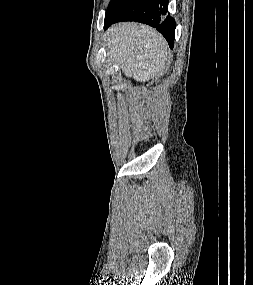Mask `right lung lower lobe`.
<instances>
[{"label": "right lung lower lobe", "instance_id": "obj_1", "mask_svg": "<svg viewBox=\"0 0 253 285\" xmlns=\"http://www.w3.org/2000/svg\"><path fill=\"white\" fill-rule=\"evenodd\" d=\"M168 0H115L108 8L104 29L120 21H136L155 27L173 48L175 20L167 12Z\"/></svg>", "mask_w": 253, "mask_h": 285}]
</instances>
